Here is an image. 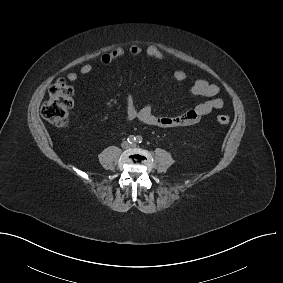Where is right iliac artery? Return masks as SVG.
<instances>
[{
  "label": "right iliac artery",
  "instance_id": "right-iliac-artery-1",
  "mask_svg": "<svg viewBox=\"0 0 283 283\" xmlns=\"http://www.w3.org/2000/svg\"><path fill=\"white\" fill-rule=\"evenodd\" d=\"M137 137H135L134 135H130L127 139V141L132 144L134 142H136Z\"/></svg>",
  "mask_w": 283,
  "mask_h": 283
}]
</instances>
